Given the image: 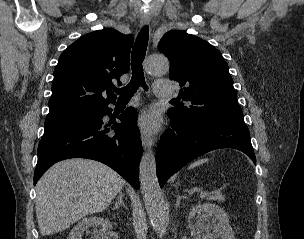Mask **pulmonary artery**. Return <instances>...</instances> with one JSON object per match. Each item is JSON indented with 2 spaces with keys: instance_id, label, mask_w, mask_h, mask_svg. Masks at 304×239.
Returning a JSON list of instances; mask_svg holds the SVG:
<instances>
[{
  "instance_id": "e3ab8cb5",
  "label": "pulmonary artery",
  "mask_w": 304,
  "mask_h": 239,
  "mask_svg": "<svg viewBox=\"0 0 304 239\" xmlns=\"http://www.w3.org/2000/svg\"><path fill=\"white\" fill-rule=\"evenodd\" d=\"M154 93L160 97H168L174 93V90L170 82L156 81L154 83Z\"/></svg>"
}]
</instances>
